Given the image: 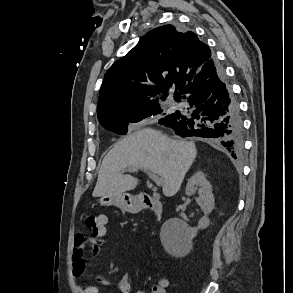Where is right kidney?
Listing matches in <instances>:
<instances>
[{
    "mask_svg": "<svg viewBox=\"0 0 293 293\" xmlns=\"http://www.w3.org/2000/svg\"><path fill=\"white\" fill-rule=\"evenodd\" d=\"M197 189L199 197L195 198V200L204 212L198 227L192 229L185 222L172 218L166 222L161 230V243L164 249L171 255H177L180 250L190 247L197 231L207 228L210 224L208 214L214 209L215 199L212 187L203 172H197L189 179L185 191L188 196H193ZM176 222L180 223V229L172 228V224Z\"/></svg>",
    "mask_w": 293,
    "mask_h": 293,
    "instance_id": "1",
    "label": "right kidney"
}]
</instances>
